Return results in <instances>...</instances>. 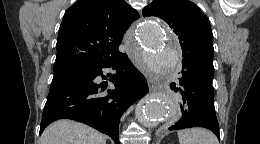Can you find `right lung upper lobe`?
I'll use <instances>...</instances> for the list:
<instances>
[{
	"instance_id": "obj_1",
	"label": "right lung upper lobe",
	"mask_w": 260,
	"mask_h": 144,
	"mask_svg": "<svg viewBox=\"0 0 260 144\" xmlns=\"http://www.w3.org/2000/svg\"><path fill=\"white\" fill-rule=\"evenodd\" d=\"M138 18L124 0H78L59 28L54 72L116 55L126 30Z\"/></svg>"
}]
</instances>
